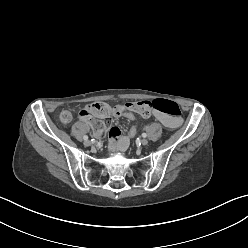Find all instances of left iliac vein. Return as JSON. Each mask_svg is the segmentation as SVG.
Here are the masks:
<instances>
[{
  "label": "left iliac vein",
  "mask_w": 248,
  "mask_h": 248,
  "mask_svg": "<svg viewBox=\"0 0 248 248\" xmlns=\"http://www.w3.org/2000/svg\"><path fill=\"white\" fill-rule=\"evenodd\" d=\"M141 144H142L143 146H147V145H148V140H147V139H142V140H141Z\"/></svg>",
  "instance_id": "left-iliac-vein-1"
}]
</instances>
